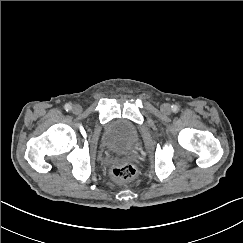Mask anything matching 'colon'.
Wrapping results in <instances>:
<instances>
[{"label": "colon", "instance_id": "5ec220e1", "mask_svg": "<svg viewBox=\"0 0 243 243\" xmlns=\"http://www.w3.org/2000/svg\"><path fill=\"white\" fill-rule=\"evenodd\" d=\"M110 175L115 180L130 181L136 177L137 170L132 164L119 162L111 166Z\"/></svg>", "mask_w": 243, "mask_h": 243}]
</instances>
